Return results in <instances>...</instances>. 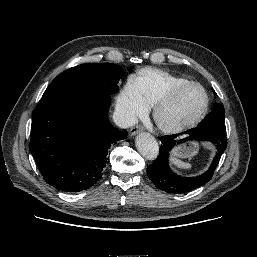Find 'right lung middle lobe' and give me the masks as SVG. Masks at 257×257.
I'll use <instances>...</instances> for the list:
<instances>
[{
  "label": "right lung middle lobe",
  "instance_id": "dd1d6c3e",
  "mask_svg": "<svg viewBox=\"0 0 257 257\" xmlns=\"http://www.w3.org/2000/svg\"><path fill=\"white\" fill-rule=\"evenodd\" d=\"M123 69L112 63L82 64L59 74L42 98L69 92H96L111 95L119 90L117 83Z\"/></svg>",
  "mask_w": 257,
  "mask_h": 257
}]
</instances>
